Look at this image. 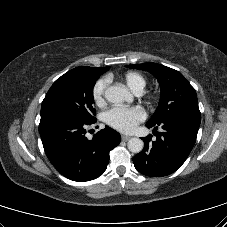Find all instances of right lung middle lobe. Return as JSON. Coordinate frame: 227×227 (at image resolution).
<instances>
[{"label":"right lung middle lobe","mask_w":227,"mask_h":227,"mask_svg":"<svg viewBox=\"0 0 227 227\" xmlns=\"http://www.w3.org/2000/svg\"><path fill=\"white\" fill-rule=\"evenodd\" d=\"M102 73L77 67L58 78L41 106V119L67 116L83 122L95 121L93 88Z\"/></svg>","instance_id":"obj_1"}]
</instances>
